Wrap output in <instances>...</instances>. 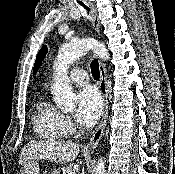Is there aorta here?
Here are the masks:
<instances>
[{"mask_svg": "<svg viewBox=\"0 0 175 174\" xmlns=\"http://www.w3.org/2000/svg\"><path fill=\"white\" fill-rule=\"evenodd\" d=\"M89 50H93L94 53L103 60L109 58L106 47L91 38L70 42L59 49L53 66L55 70V83L52 86L56 103L59 106L68 109L75 108L76 97L70 85L67 71L74 61L82 57ZM94 174H105V161L102 158L99 159Z\"/></svg>", "mask_w": 175, "mask_h": 174, "instance_id": "aorta-1", "label": "aorta"}]
</instances>
